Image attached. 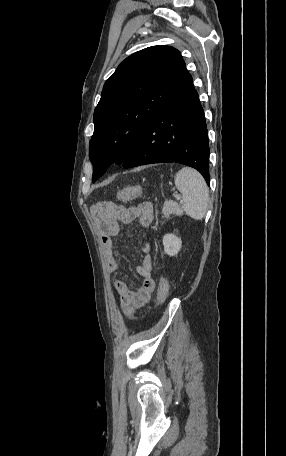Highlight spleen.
<instances>
[{
	"label": "spleen",
	"instance_id": "spleen-1",
	"mask_svg": "<svg viewBox=\"0 0 286 456\" xmlns=\"http://www.w3.org/2000/svg\"><path fill=\"white\" fill-rule=\"evenodd\" d=\"M174 182L182 194L185 213L195 220L203 219L208 209L209 190L202 175L195 169L184 167L176 173Z\"/></svg>",
	"mask_w": 286,
	"mask_h": 456
}]
</instances>
